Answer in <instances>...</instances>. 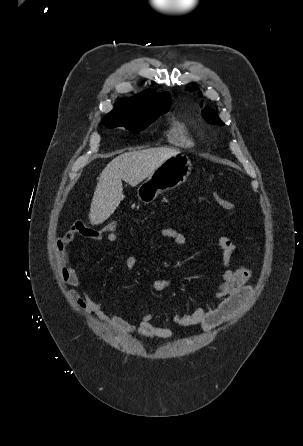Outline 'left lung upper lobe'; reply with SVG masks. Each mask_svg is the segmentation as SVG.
Wrapping results in <instances>:
<instances>
[{
    "label": "left lung upper lobe",
    "mask_w": 303,
    "mask_h": 446,
    "mask_svg": "<svg viewBox=\"0 0 303 446\" xmlns=\"http://www.w3.org/2000/svg\"><path fill=\"white\" fill-rule=\"evenodd\" d=\"M193 89H190L192 91ZM204 118L211 124L224 125V123L216 117L214 114L210 113L207 109L203 111Z\"/></svg>",
    "instance_id": "left-lung-upper-lobe-1"
}]
</instances>
